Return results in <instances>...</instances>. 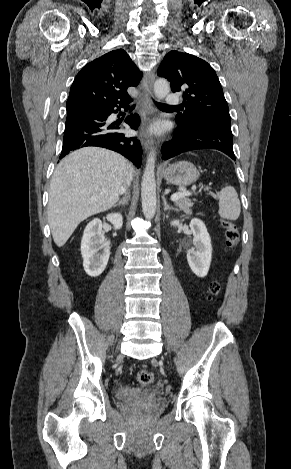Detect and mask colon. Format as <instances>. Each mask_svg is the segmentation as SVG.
Wrapping results in <instances>:
<instances>
[{
    "label": "colon",
    "instance_id": "1",
    "mask_svg": "<svg viewBox=\"0 0 291 469\" xmlns=\"http://www.w3.org/2000/svg\"><path fill=\"white\" fill-rule=\"evenodd\" d=\"M222 227L225 230L226 245L228 248L233 249L237 246L239 241V232L236 225L229 220L221 221ZM220 291V285L218 282H212L209 287V297L216 296ZM137 381L142 386L150 385L154 381V375L148 370H140L137 373Z\"/></svg>",
    "mask_w": 291,
    "mask_h": 469
}]
</instances>
